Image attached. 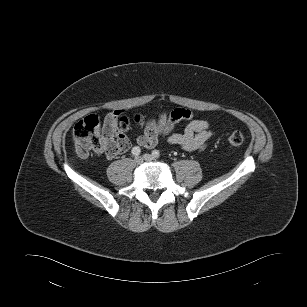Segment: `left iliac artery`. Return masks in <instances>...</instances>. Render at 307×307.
<instances>
[{
	"mask_svg": "<svg viewBox=\"0 0 307 307\" xmlns=\"http://www.w3.org/2000/svg\"><path fill=\"white\" fill-rule=\"evenodd\" d=\"M152 155L155 157V158H159L160 157V153L158 150H153L152 151Z\"/></svg>",
	"mask_w": 307,
	"mask_h": 307,
	"instance_id": "left-iliac-artery-1",
	"label": "left iliac artery"
}]
</instances>
